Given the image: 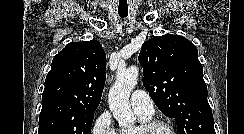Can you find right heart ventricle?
Returning a JSON list of instances; mask_svg holds the SVG:
<instances>
[{
  "label": "right heart ventricle",
  "mask_w": 244,
  "mask_h": 134,
  "mask_svg": "<svg viewBox=\"0 0 244 134\" xmlns=\"http://www.w3.org/2000/svg\"><path fill=\"white\" fill-rule=\"evenodd\" d=\"M137 115L142 123L151 119V116H144L139 113H137ZM136 131L137 130H132V129H121L120 131H118V134H136Z\"/></svg>",
  "instance_id": "obj_1"
}]
</instances>
